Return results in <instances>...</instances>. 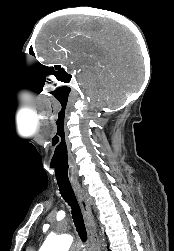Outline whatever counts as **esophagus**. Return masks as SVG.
<instances>
[{"label":"esophagus","instance_id":"obj_1","mask_svg":"<svg viewBox=\"0 0 174 251\" xmlns=\"http://www.w3.org/2000/svg\"><path fill=\"white\" fill-rule=\"evenodd\" d=\"M72 187L78 199L80 207L82 209L90 237L93 240V242H96L98 239H97V234H96L94 221H93V217L91 213L90 202L87 197V194L84 192L80 184L77 182L73 183ZM99 249H100V244L97 243V250L100 251Z\"/></svg>","mask_w":174,"mask_h":251}]
</instances>
